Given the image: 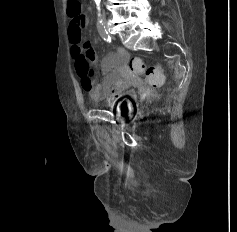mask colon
Wrapping results in <instances>:
<instances>
[{
    "mask_svg": "<svg viewBox=\"0 0 237 232\" xmlns=\"http://www.w3.org/2000/svg\"><path fill=\"white\" fill-rule=\"evenodd\" d=\"M68 14L72 19H80L82 7L79 0L68 1ZM129 69L135 75L143 77L151 85L159 86L163 83V72L160 65L146 66L140 58L129 61Z\"/></svg>",
    "mask_w": 237,
    "mask_h": 232,
    "instance_id": "obj_1",
    "label": "colon"
}]
</instances>
